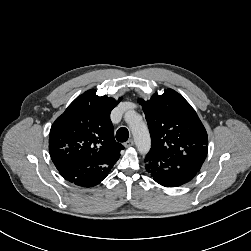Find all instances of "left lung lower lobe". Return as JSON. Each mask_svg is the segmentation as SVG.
I'll return each instance as SVG.
<instances>
[{"label": "left lung lower lobe", "instance_id": "0a47b994", "mask_svg": "<svg viewBox=\"0 0 251 251\" xmlns=\"http://www.w3.org/2000/svg\"><path fill=\"white\" fill-rule=\"evenodd\" d=\"M201 163L188 159L168 158L161 153L149 152L145 168L162 186L176 187L190 181L201 168Z\"/></svg>", "mask_w": 251, "mask_h": 251}]
</instances>
